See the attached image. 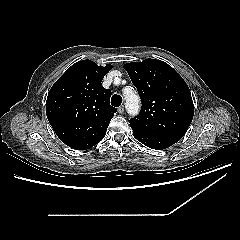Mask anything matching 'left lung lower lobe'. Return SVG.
Returning a JSON list of instances; mask_svg holds the SVG:
<instances>
[{
	"label": "left lung lower lobe",
	"instance_id": "obj_1",
	"mask_svg": "<svg viewBox=\"0 0 240 240\" xmlns=\"http://www.w3.org/2000/svg\"><path fill=\"white\" fill-rule=\"evenodd\" d=\"M133 135L147 147L156 150L168 148L182 138L178 135H145L134 131Z\"/></svg>",
	"mask_w": 240,
	"mask_h": 240
}]
</instances>
